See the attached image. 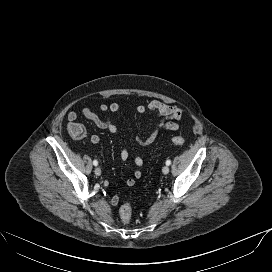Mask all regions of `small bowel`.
Here are the masks:
<instances>
[{
    "label": "small bowel",
    "mask_w": 272,
    "mask_h": 272,
    "mask_svg": "<svg viewBox=\"0 0 272 272\" xmlns=\"http://www.w3.org/2000/svg\"><path fill=\"white\" fill-rule=\"evenodd\" d=\"M99 110L105 114L104 118L98 116L95 112H93L89 108H83L81 113L82 115L91 121L96 127L99 129L108 130L112 134H118L119 129L112 121L110 114L112 113H119L123 110V106L119 103L113 102L110 104L101 103L99 105ZM136 112L139 114H144L147 111H150L158 116V121L156 122L155 126L153 127L152 131L146 137H136V142L141 147H146L151 145L161 130H169V131H176L179 128V124L174 120H180L183 116V110L177 106L169 105L164 102L153 100L149 102L147 105H138L135 108ZM78 118V114L75 111H70L67 114V119L70 122L76 121ZM91 143L94 145H98L101 141L98 135H92ZM129 158V152L125 147H122L120 150V159L122 162L127 161ZM134 163L136 165V169L134 171V178H128L126 180V185L128 187H132L135 184V179H139L142 176V166H143V159L140 156H136L134 158ZM119 202V196L114 195L111 199L112 205H117Z\"/></svg>",
    "instance_id": "obj_1"
}]
</instances>
